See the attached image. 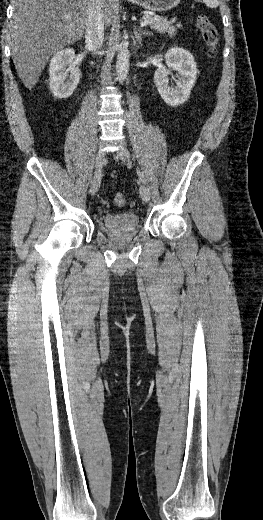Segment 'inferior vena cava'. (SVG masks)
Instances as JSON below:
<instances>
[{
	"label": "inferior vena cava",
	"instance_id": "obj_1",
	"mask_svg": "<svg viewBox=\"0 0 263 520\" xmlns=\"http://www.w3.org/2000/svg\"><path fill=\"white\" fill-rule=\"evenodd\" d=\"M104 41V14L102 0H89L85 24V44L91 51H98Z\"/></svg>",
	"mask_w": 263,
	"mask_h": 520
}]
</instances>
